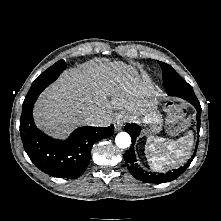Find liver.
Returning <instances> with one entry per match:
<instances>
[{
	"label": "liver",
	"mask_w": 221,
	"mask_h": 221,
	"mask_svg": "<svg viewBox=\"0 0 221 221\" xmlns=\"http://www.w3.org/2000/svg\"><path fill=\"white\" fill-rule=\"evenodd\" d=\"M155 95L149 80L133 67L94 59L66 70L50 85L36 103L34 118L39 128L60 138L90 123L106 127L116 110L139 115ZM91 114L98 115L95 122L86 120Z\"/></svg>",
	"instance_id": "obj_1"
}]
</instances>
